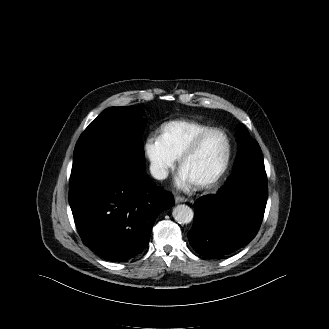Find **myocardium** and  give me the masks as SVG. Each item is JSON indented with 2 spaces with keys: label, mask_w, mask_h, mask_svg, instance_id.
I'll return each instance as SVG.
<instances>
[{
  "label": "myocardium",
  "mask_w": 329,
  "mask_h": 329,
  "mask_svg": "<svg viewBox=\"0 0 329 329\" xmlns=\"http://www.w3.org/2000/svg\"><path fill=\"white\" fill-rule=\"evenodd\" d=\"M212 133H221L225 137L226 144H227L226 153H225L224 160H223L220 168L218 169V171L211 178H209L203 182L195 184L196 187L199 189H205V188H210V187L214 186L223 177V175L227 171L229 164L231 162L232 153H233V145H232L231 138L229 137L227 132L221 128H209V129L205 130L204 132L198 134L191 141V143L188 145V147L183 151V153L179 157V169L181 170L183 165L185 164V162L197 152L202 141Z\"/></svg>",
  "instance_id": "f54148a6"
}]
</instances>
